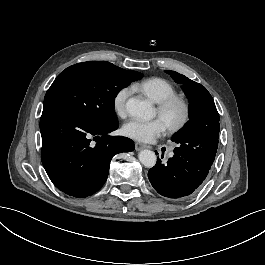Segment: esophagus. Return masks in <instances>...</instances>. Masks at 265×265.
Masks as SVG:
<instances>
[{
  "instance_id": "obj_1",
  "label": "esophagus",
  "mask_w": 265,
  "mask_h": 265,
  "mask_svg": "<svg viewBox=\"0 0 265 265\" xmlns=\"http://www.w3.org/2000/svg\"><path fill=\"white\" fill-rule=\"evenodd\" d=\"M145 148L151 149L152 147L150 145L140 143V142L135 143V150L140 151Z\"/></svg>"
}]
</instances>
